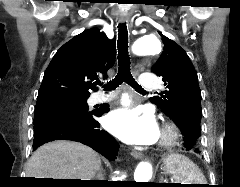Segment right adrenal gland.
<instances>
[{
  "label": "right adrenal gland",
  "mask_w": 240,
  "mask_h": 187,
  "mask_svg": "<svg viewBox=\"0 0 240 187\" xmlns=\"http://www.w3.org/2000/svg\"><path fill=\"white\" fill-rule=\"evenodd\" d=\"M104 170L103 167L101 166L100 170L98 171L97 176L95 177V180L99 179V180H103L104 179Z\"/></svg>",
  "instance_id": "right-adrenal-gland-1"
}]
</instances>
